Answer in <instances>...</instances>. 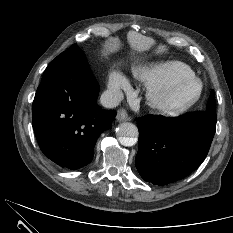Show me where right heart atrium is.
Returning a JSON list of instances; mask_svg holds the SVG:
<instances>
[{
	"mask_svg": "<svg viewBox=\"0 0 233 233\" xmlns=\"http://www.w3.org/2000/svg\"><path fill=\"white\" fill-rule=\"evenodd\" d=\"M108 88L114 96H119L122 91L130 89L129 82L119 72H112L108 78Z\"/></svg>",
	"mask_w": 233,
	"mask_h": 233,
	"instance_id": "d8ad5b80",
	"label": "right heart atrium"
}]
</instances>
